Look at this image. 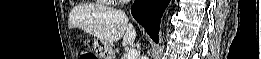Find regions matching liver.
I'll list each match as a JSON object with an SVG mask.
<instances>
[{"instance_id":"1","label":"liver","mask_w":261,"mask_h":59,"mask_svg":"<svg viewBox=\"0 0 261 59\" xmlns=\"http://www.w3.org/2000/svg\"><path fill=\"white\" fill-rule=\"evenodd\" d=\"M68 27L80 28L107 43L123 38V46L132 45L136 38V30L129 23L127 15L121 10L110 8H98L86 13L74 11L69 17Z\"/></svg>"}]
</instances>
